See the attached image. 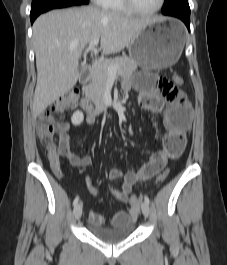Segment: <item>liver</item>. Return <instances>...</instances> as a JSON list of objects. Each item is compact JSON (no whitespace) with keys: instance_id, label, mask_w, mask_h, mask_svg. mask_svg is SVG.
Here are the masks:
<instances>
[{"instance_id":"6515ba94","label":"liver","mask_w":227,"mask_h":265,"mask_svg":"<svg viewBox=\"0 0 227 265\" xmlns=\"http://www.w3.org/2000/svg\"><path fill=\"white\" fill-rule=\"evenodd\" d=\"M149 24L147 19L87 6L54 10L39 16L33 24L37 84L34 118L69 92L79 78V58L86 45L101 39L103 54H115Z\"/></svg>"}]
</instances>
